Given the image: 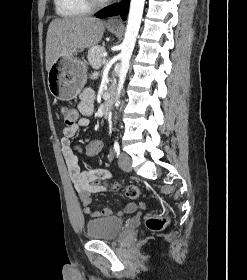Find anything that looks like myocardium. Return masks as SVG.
<instances>
[{
	"instance_id": "obj_1",
	"label": "myocardium",
	"mask_w": 247,
	"mask_h": 280,
	"mask_svg": "<svg viewBox=\"0 0 247 280\" xmlns=\"http://www.w3.org/2000/svg\"><path fill=\"white\" fill-rule=\"evenodd\" d=\"M91 8H97L105 5L109 0H85Z\"/></svg>"
}]
</instances>
